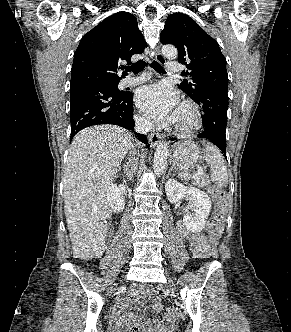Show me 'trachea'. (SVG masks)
<instances>
[{
    "label": "trachea",
    "instance_id": "trachea-1",
    "mask_svg": "<svg viewBox=\"0 0 291 332\" xmlns=\"http://www.w3.org/2000/svg\"><path fill=\"white\" fill-rule=\"evenodd\" d=\"M145 65H146V62L143 61V60H141V61L137 62L136 64L132 65L131 67H128L126 70L128 72L129 71H133L134 74H138L141 70L144 69ZM151 67L154 70H156V71H158L160 73H166L165 70L162 68V66L158 62H156V61H153L151 63Z\"/></svg>",
    "mask_w": 291,
    "mask_h": 332
}]
</instances>
